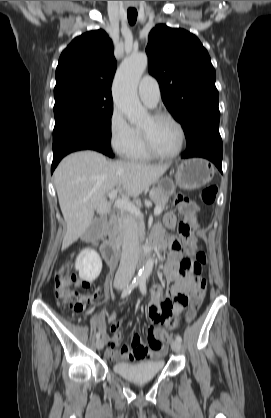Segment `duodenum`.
Listing matches in <instances>:
<instances>
[{
    "instance_id": "duodenum-1",
    "label": "duodenum",
    "mask_w": 271,
    "mask_h": 418,
    "mask_svg": "<svg viewBox=\"0 0 271 418\" xmlns=\"http://www.w3.org/2000/svg\"><path fill=\"white\" fill-rule=\"evenodd\" d=\"M89 240H95L94 235L87 237ZM164 244V239L159 231H155L146 239L139 247L137 252V265H141L144 260L150 255L155 248H161ZM101 250L103 256L110 267H114L118 259V232H117V215L111 212L108 215V220L105 225L102 235Z\"/></svg>"
}]
</instances>
